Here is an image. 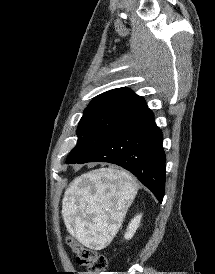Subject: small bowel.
<instances>
[{
    "instance_id": "small-bowel-1",
    "label": "small bowel",
    "mask_w": 215,
    "mask_h": 274,
    "mask_svg": "<svg viewBox=\"0 0 215 274\" xmlns=\"http://www.w3.org/2000/svg\"><path fill=\"white\" fill-rule=\"evenodd\" d=\"M80 274H87V272H82V273H80Z\"/></svg>"
}]
</instances>
